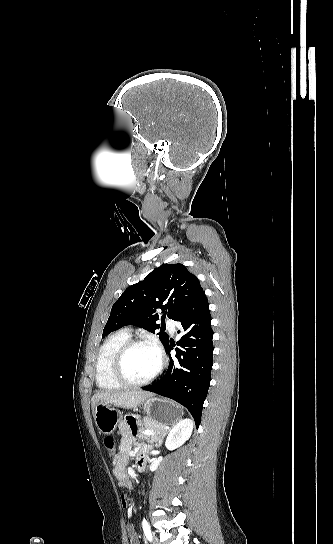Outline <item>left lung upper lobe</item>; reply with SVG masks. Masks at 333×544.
<instances>
[{"mask_svg": "<svg viewBox=\"0 0 333 544\" xmlns=\"http://www.w3.org/2000/svg\"><path fill=\"white\" fill-rule=\"evenodd\" d=\"M203 293L198 278L184 265L165 264L124 291L111 309L102 337L125 325L154 333L160 328L158 320L164 321L166 315L176 320ZM158 335L166 346L168 334L161 331Z\"/></svg>", "mask_w": 333, "mask_h": 544, "instance_id": "1", "label": "left lung upper lobe"}]
</instances>
